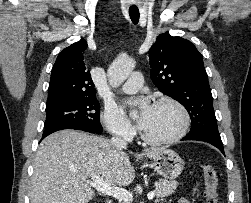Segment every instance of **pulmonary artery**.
Listing matches in <instances>:
<instances>
[{
	"mask_svg": "<svg viewBox=\"0 0 251 203\" xmlns=\"http://www.w3.org/2000/svg\"><path fill=\"white\" fill-rule=\"evenodd\" d=\"M143 84V76L141 73L136 72L130 75L126 82L122 85V90L126 93L137 92Z\"/></svg>",
	"mask_w": 251,
	"mask_h": 203,
	"instance_id": "1",
	"label": "pulmonary artery"
}]
</instances>
